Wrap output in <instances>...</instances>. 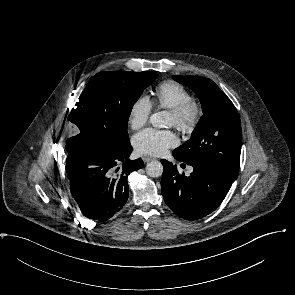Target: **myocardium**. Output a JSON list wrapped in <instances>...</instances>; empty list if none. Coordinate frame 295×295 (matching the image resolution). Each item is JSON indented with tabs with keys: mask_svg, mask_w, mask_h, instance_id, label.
<instances>
[{
	"mask_svg": "<svg viewBox=\"0 0 295 295\" xmlns=\"http://www.w3.org/2000/svg\"><path fill=\"white\" fill-rule=\"evenodd\" d=\"M171 115L175 118L174 126L186 133L194 131L202 120L204 107L196 99H190L180 107L170 110Z\"/></svg>",
	"mask_w": 295,
	"mask_h": 295,
	"instance_id": "1",
	"label": "myocardium"
}]
</instances>
